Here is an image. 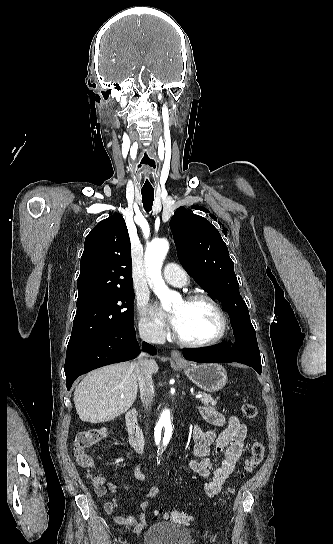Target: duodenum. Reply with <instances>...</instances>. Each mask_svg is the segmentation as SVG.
<instances>
[{
  "instance_id": "410a0bca",
  "label": "duodenum",
  "mask_w": 333,
  "mask_h": 544,
  "mask_svg": "<svg viewBox=\"0 0 333 544\" xmlns=\"http://www.w3.org/2000/svg\"><path fill=\"white\" fill-rule=\"evenodd\" d=\"M126 427L128 432V438L131 446L138 453H142L145 450L146 440L145 436L139 426L137 419V412L135 409H131L125 416Z\"/></svg>"
}]
</instances>
